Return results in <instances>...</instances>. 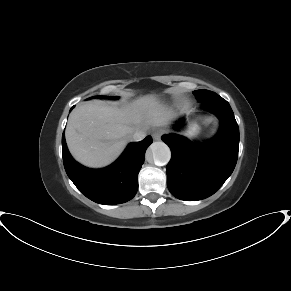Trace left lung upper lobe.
Masks as SVG:
<instances>
[{"mask_svg": "<svg viewBox=\"0 0 291 291\" xmlns=\"http://www.w3.org/2000/svg\"><path fill=\"white\" fill-rule=\"evenodd\" d=\"M214 92L208 90H196L193 92L198 101H202L206 96H210Z\"/></svg>", "mask_w": 291, "mask_h": 291, "instance_id": "1", "label": "left lung upper lobe"}]
</instances>
